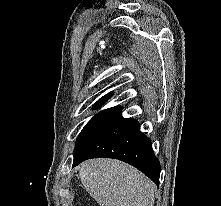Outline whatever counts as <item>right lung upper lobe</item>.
<instances>
[{"instance_id": "obj_1", "label": "right lung upper lobe", "mask_w": 221, "mask_h": 206, "mask_svg": "<svg viewBox=\"0 0 221 206\" xmlns=\"http://www.w3.org/2000/svg\"><path fill=\"white\" fill-rule=\"evenodd\" d=\"M110 96H112L111 93H109V94L105 95L104 97L100 98L99 101L96 103V106H100V105L104 104V101H107L110 98ZM115 107L122 108L121 106H115Z\"/></svg>"}]
</instances>
